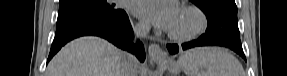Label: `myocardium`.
Returning a JSON list of instances; mask_svg holds the SVG:
<instances>
[{
  "instance_id": "1",
  "label": "myocardium",
  "mask_w": 287,
  "mask_h": 76,
  "mask_svg": "<svg viewBox=\"0 0 287 76\" xmlns=\"http://www.w3.org/2000/svg\"><path fill=\"white\" fill-rule=\"evenodd\" d=\"M180 10L194 14L197 18V24L192 30L185 33H175L169 30L168 37L177 42H186L200 36L208 26V18L205 12L196 5H183Z\"/></svg>"
}]
</instances>
